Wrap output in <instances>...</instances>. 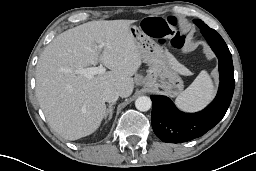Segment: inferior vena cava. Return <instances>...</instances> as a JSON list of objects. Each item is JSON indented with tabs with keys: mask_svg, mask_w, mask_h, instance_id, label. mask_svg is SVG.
<instances>
[{
	"mask_svg": "<svg viewBox=\"0 0 256 171\" xmlns=\"http://www.w3.org/2000/svg\"><path fill=\"white\" fill-rule=\"evenodd\" d=\"M118 97H119V92L117 90L113 88H107L104 90V93H103L104 101L113 103L118 99Z\"/></svg>",
	"mask_w": 256,
	"mask_h": 171,
	"instance_id": "602c4592",
	"label": "inferior vena cava"
}]
</instances>
